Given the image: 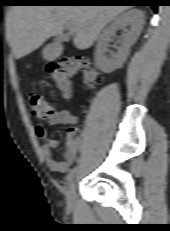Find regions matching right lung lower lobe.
Instances as JSON below:
<instances>
[{
  "label": "right lung lower lobe",
  "instance_id": "obj_1",
  "mask_svg": "<svg viewBox=\"0 0 170 231\" xmlns=\"http://www.w3.org/2000/svg\"><path fill=\"white\" fill-rule=\"evenodd\" d=\"M64 2L60 3H47L43 0L34 2V5H111V3H126L132 5H149L154 11H157L158 5H160L159 0H62ZM94 1H115V2H94ZM124 1V2H123Z\"/></svg>",
  "mask_w": 170,
  "mask_h": 231
}]
</instances>
